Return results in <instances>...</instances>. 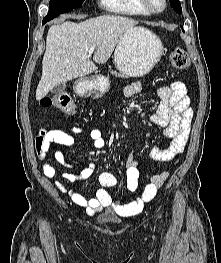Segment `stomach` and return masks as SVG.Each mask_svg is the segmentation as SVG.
Returning a JSON list of instances; mask_svg holds the SVG:
<instances>
[{"label": "stomach", "mask_w": 221, "mask_h": 263, "mask_svg": "<svg viewBox=\"0 0 221 263\" xmlns=\"http://www.w3.org/2000/svg\"><path fill=\"white\" fill-rule=\"evenodd\" d=\"M163 53L161 40L151 31L137 27L124 33L120 39L114 52V62L123 74L142 77L153 69ZM109 86V80L105 76L96 75L81 81L77 90L103 94Z\"/></svg>", "instance_id": "0dacf381"}]
</instances>
